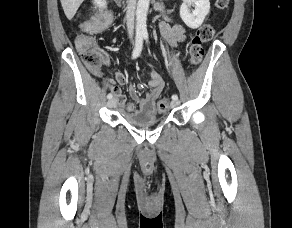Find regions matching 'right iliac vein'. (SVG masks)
Masks as SVG:
<instances>
[{"label":"right iliac vein","mask_w":292,"mask_h":228,"mask_svg":"<svg viewBox=\"0 0 292 228\" xmlns=\"http://www.w3.org/2000/svg\"><path fill=\"white\" fill-rule=\"evenodd\" d=\"M115 105H116V99H115V98H112V99H110V100L108 101V106H109L110 108L115 107Z\"/></svg>","instance_id":"obj_1"}]
</instances>
